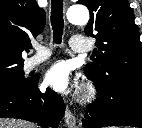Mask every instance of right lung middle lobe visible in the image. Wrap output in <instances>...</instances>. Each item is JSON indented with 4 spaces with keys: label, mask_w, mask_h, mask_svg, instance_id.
I'll list each match as a JSON object with an SVG mask.
<instances>
[{
    "label": "right lung middle lobe",
    "mask_w": 142,
    "mask_h": 128,
    "mask_svg": "<svg viewBox=\"0 0 142 128\" xmlns=\"http://www.w3.org/2000/svg\"><path fill=\"white\" fill-rule=\"evenodd\" d=\"M32 78L24 76L23 67H0V91H10L26 85Z\"/></svg>",
    "instance_id": "1"
}]
</instances>
